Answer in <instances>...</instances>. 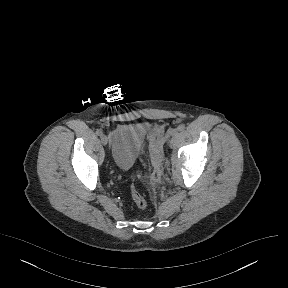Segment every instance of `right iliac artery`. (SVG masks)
Returning <instances> with one entry per match:
<instances>
[{"mask_svg":"<svg viewBox=\"0 0 288 288\" xmlns=\"http://www.w3.org/2000/svg\"><path fill=\"white\" fill-rule=\"evenodd\" d=\"M96 134H97L98 136H102V135H103V132H102V130L99 129V130L96 131Z\"/></svg>","mask_w":288,"mask_h":288,"instance_id":"1","label":"right iliac artery"}]
</instances>
